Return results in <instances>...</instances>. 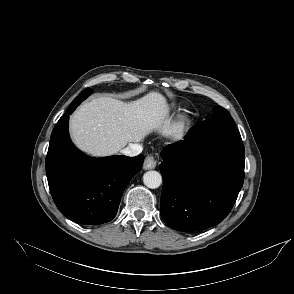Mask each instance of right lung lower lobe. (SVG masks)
<instances>
[{
    "instance_id": "98d812e1",
    "label": "right lung lower lobe",
    "mask_w": 294,
    "mask_h": 294,
    "mask_svg": "<svg viewBox=\"0 0 294 294\" xmlns=\"http://www.w3.org/2000/svg\"><path fill=\"white\" fill-rule=\"evenodd\" d=\"M82 98L92 93L85 89ZM72 107L55 125L46 157V174L52 198L72 221L96 225L111 221L131 178L141 170L144 156L92 158L79 151L69 137Z\"/></svg>"
}]
</instances>
